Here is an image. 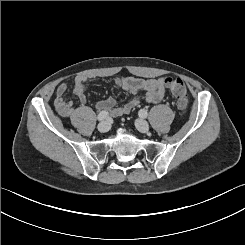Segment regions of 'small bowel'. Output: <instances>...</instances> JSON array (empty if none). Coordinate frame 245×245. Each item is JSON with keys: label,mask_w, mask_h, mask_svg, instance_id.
Returning a JSON list of instances; mask_svg holds the SVG:
<instances>
[{"label": "small bowel", "mask_w": 245, "mask_h": 245, "mask_svg": "<svg viewBox=\"0 0 245 245\" xmlns=\"http://www.w3.org/2000/svg\"><path fill=\"white\" fill-rule=\"evenodd\" d=\"M93 81V78L87 76H78L74 80L73 93L77 96L82 106L75 108L73 102L65 99L68 91L66 83H61L56 88L55 108L57 112L65 118H70L72 123L80 126L87 108L83 105L86 102V85ZM113 83L116 87L131 94L143 93V99L150 104L159 103L165 95V78L142 79L136 77H115ZM140 98H134L123 106H116L113 97L100 101L97 104L98 110L109 111L111 116L117 117L129 113L140 103Z\"/></svg>", "instance_id": "c3829d8e"}]
</instances>
